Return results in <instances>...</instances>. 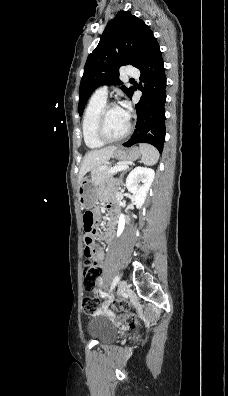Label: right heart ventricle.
<instances>
[{
  "instance_id": "right-heart-ventricle-1",
  "label": "right heart ventricle",
  "mask_w": 228,
  "mask_h": 396,
  "mask_svg": "<svg viewBox=\"0 0 228 396\" xmlns=\"http://www.w3.org/2000/svg\"><path fill=\"white\" fill-rule=\"evenodd\" d=\"M105 104L106 99L93 95L86 107L82 120V135L86 146L90 149H98L104 145L96 135V120Z\"/></svg>"
}]
</instances>
